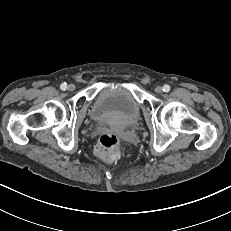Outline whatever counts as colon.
<instances>
[{
    "mask_svg": "<svg viewBox=\"0 0 231 231\" xmlns=\"http://www.w3.org/2000/svg\"><path fill=\"white\" fill-rule=\"evenodd\" d=\"M119 138L113 133H103L95 147L97 156L104 160H113L118 155Z\"/></svg>",
    "mask_w": 231,
    "mask_h": 231,
    "instance_id": "5ec220e1",
    "label": "colon"
}]
</instances>
